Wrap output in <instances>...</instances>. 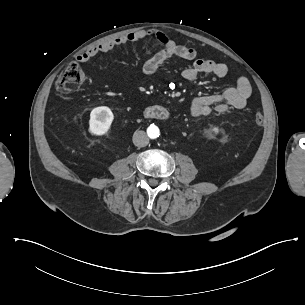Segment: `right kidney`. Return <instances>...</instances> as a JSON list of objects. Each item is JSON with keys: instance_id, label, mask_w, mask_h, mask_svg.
Returning <instances> with one entry per match:
<instances>
[{"instance_id": "right-kidney-1", "label": "right kidney", "mask_w": 305, "mask_h": 305, "mask_svg": "<svg viewBox=\"0 0 305 305\" xmlns=\"http://www.w3.org/2000/svg\"><path fill=\"white\" fill-rule=\"evenodd\" d=\"M113 118V113L108 107L102 106L94 108L90 114L89 131L92 134L106 132L109 129Z\"/></svg>"}]
</instances>
